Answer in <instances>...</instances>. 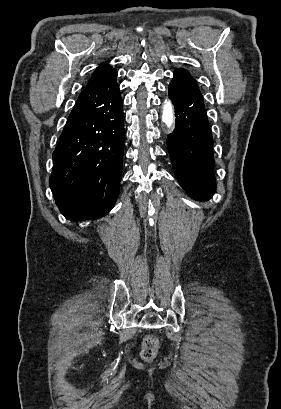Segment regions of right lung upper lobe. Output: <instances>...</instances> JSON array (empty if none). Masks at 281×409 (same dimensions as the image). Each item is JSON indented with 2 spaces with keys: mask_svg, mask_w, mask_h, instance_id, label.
<instances>
[{
  "mask_svg": "<svg viewBox=\"0 0 281 409\" xmlns=\"http://www.w3.org/2000/svg\"><path fill=\"white\" fill-rule=\"evenodd\" d=\"M108 62H104L103 64H101L93 73L90 81L88 82L86 88H89L91 86H93L94 84L102 81L103 79L106 78V76L112 72L115 71L114 68H112L111 66L107 65Z\"/></svg>",
  "mask_w": 281,
  "mask_h": 409,
  "instance_id": "obj_1",
  "label": "right lung upper lobe"
}]
</instances>
